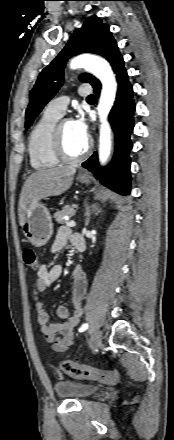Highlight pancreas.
Listing matches in <instances>:
<instances>
[{
  "label": "pancreas",
  "instance_id": "obj_1",
  "mask_svg": "<svg viewBox=\"0 0 174 440\" xmlns=\"http://www.w3.org/2000/svg\"><path fill=\"white\" fill-rule=\"evenodd\" d=\"M75 208H77V205H71V206L67 205V206H64V207H62L61 210L56 211L54 213L53 217L55 218L57 223H59V224H66L67 221L64 219V216L65 215H68L70 217L74 216L75 213H76Z\"/></svg>",
  "mask_w": 174,
  "mask_h": 440
}]
</instances>
